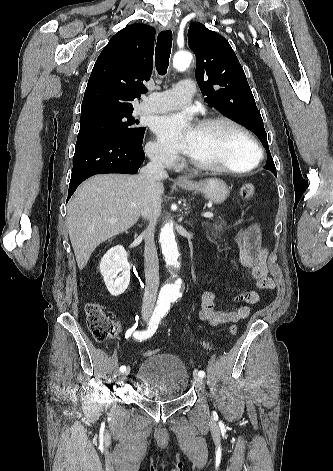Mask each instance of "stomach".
<instances>
[{
	"instance_id": "obj_1",
	"label": "stomach",
	"mask_w": 333,
	"mask_h": 471,
	"mask_svg": "<svg viewBox=\"0 0 333 471\" xmlns=\"http://www.w3.org/2000/svg\"><path fill=\"white\" fill-rule=\"evenodd\" d=\"M178 186L186 191L200 192L209 201L216 204H222L230 193L227 184L217 178H209L199 182L187 181L186 183H178Z\"/></svg>"
}]
</instances>
